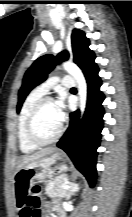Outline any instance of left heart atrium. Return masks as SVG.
Instances as JSON below:
<instances>
[{
	"mask_svg": "<svg viewBox=\"0 0 132 217\" xmlns=\"http://www.w3.org/2000/svg\"><path fill=\"white\" fill-rule=\"evenodd\" d=\"M55 109L57 113L58 120L62 122L65 118V103L64 98L60 97L55 103Z\"/></svg>",
	"mask_w": 132,
	"mask_h": 217,
	"instance_id": "left-heart-atrium-1",
	"label": "left heart atrium"
}]
</instances>
